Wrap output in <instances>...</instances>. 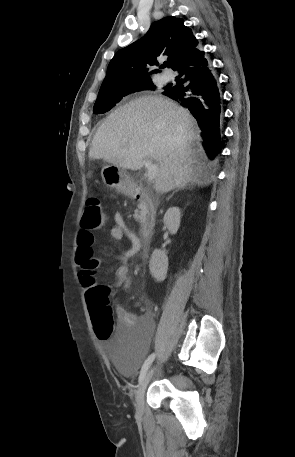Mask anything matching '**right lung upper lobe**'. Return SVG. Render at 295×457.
I'll return each instance as SVG.
<instances>
[{
  "label": "right lung upper lobe",
  "instance_id": "1",
  "mask_svg": "<svg viewBox=\"0 0 295 457\" xmlns=\"http://www.w3.org/2000/svg\"><path fill=\"white\" fill-rule=\"evenodd\" d=\"M198 45L192 30L184 26L181 18L165 17L152 23L140 40L119 50L108 65L100 91H109L126 85L151 80L146 64L158 65V58L167 55L168 67L172 68ZM99 91V92H100Z\"/></svg>",
  "mask_w": 295,
  "mask_h": 457
}]
</instances>
